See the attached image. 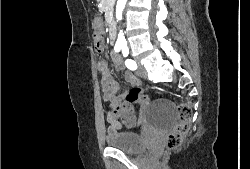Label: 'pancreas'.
Here are the masks:
<instances>
[{
  "instance_id": "cf45deb5",
  "label": "pancreas",
  "mask_w": 250,
  "mask_h": 169,
  "mask_svg": "<svg viewBox=\"0 0 250 169\" xmlns=\"http://www.w3.org/2000/svg\"><path fill=\"white\" fill-rule=\"evenodd\" d=\"M107 6H109V0H104L101 10H107Z\"/></svg>"
}]
</instances>
